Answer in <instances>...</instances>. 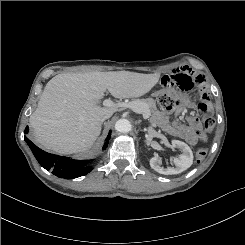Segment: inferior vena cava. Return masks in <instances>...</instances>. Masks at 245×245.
Returning a JSON list of instances; mask_svg holds the SVG:
<instances>
[{
  "mask_svg": "<svg viewBox=\"0 0 245 245\" xmlns=\"http://www.w3.org/2000/svg\"><path fill=\"white\" fill-rule=\"evenodd\" d=\"M111 115L112 114H106V115H104L103 117H102V122L104 121V120H106V119H108V118H110L111 117Z\"/></svg>",
  "mask_w": 245,
  "mask_h": 245,
  "instance_id": "602c4592",
  "label": "inferior vena cava"
}]
</instances>
